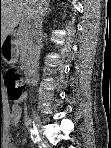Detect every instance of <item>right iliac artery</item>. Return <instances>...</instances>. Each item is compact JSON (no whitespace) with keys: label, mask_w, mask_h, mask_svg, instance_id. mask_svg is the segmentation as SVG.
Here are the masks:
<instances>
[{"label":"right iliac artery","mask_w":111,"mask_h":148,"mask_svg":"<svg viewBox=\"0 0 111 148\" xmlns=\"http://www.w3.org/2000/svg\"><path fill=\"white\" fill-rule=\"evenodd\" d=\"M25 126L31 132V138L33 140H35V142H36V140H37L36 135H37L38 131H37V128L35 127L34 122L29 117L25 118Z\"/></svg>","instance_id":"1"}]
</instances>
